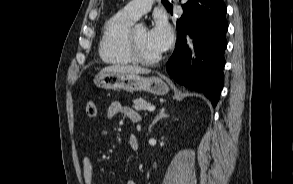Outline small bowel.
Returning a JSON list of instances; mask_svg holds the SVG:
<instances>
[{"instance_id":"obj_1","label":"small bowel","mask_w":293,"mask_h":184,"mask_svg":"<svg viewBox=\"0 0 293 184\" xmlns=\"http://www.w3.org/2000/svg\"><path fill=\"white\" fill-rule=\"evenodd\" d=\"M117 114H122L134 123H137L140 120L139 114L134 109L125 106L118 101H114L107 108V116L108 118H112ZM105 135L106 132L102 131L101 136ZM128 143L132 150H137L138 140L136 136L131 135L128 139ZM82 174L85 184H93V164L88 156H85L82 159ZM126 184H137V182L135 180L129 179L126 181Z\"/></svg>"}]
</instances>
